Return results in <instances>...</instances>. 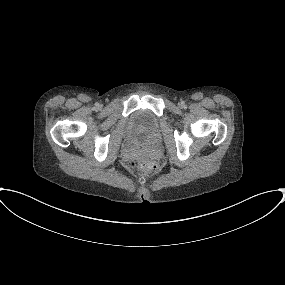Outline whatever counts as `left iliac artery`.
Returning <instances> with one entry per match:
<instances>
[{"label":"left iliac artery","instance_id":"left-iliac-artery-1","mask_svg":"<svg viewBox=\"0 0 285 285\" xmlns=\"http://www.w3.org/2000/svg\"><path fill=\"white\" fill-rule=\"evenodd\" d=\"M182 105H183V107L185 108V104H184V103H182Z\"/></svg>","mask_w":285,"mask_h":285}]
</instances>
